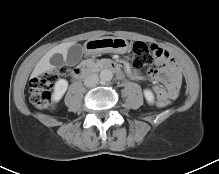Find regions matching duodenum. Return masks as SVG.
Instances as JSON below:
<instances>
[{"label": "duodenum", "instance_id": "1", "mask_svg": "<svg viewBox=\"0 0 219 174\" xmlns=\"http://www.w3.org/2000/svg\"><path fill=\"white\" fill-rule=\"evenodd\" d=\"M97 70H110L119 75L122 73L120 66L116 62L104 60L97 63H89L76 67L72 72V76L74 78H84Z\"/></svg>", "mask_w": 219, "mask_h": 174}]
</instances>
